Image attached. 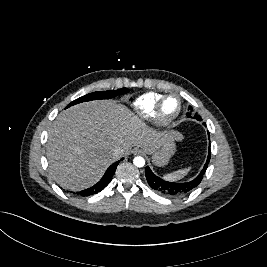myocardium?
<instances>
[{"label": "myocardium", "mask_w": 267, "mask_h": 267, "mask_svg": "<svg viewBox=\"0 0 267 267\" xmlns=\"http://www.w3.org/2000/svg\"><path fill=\"white\" fill-rule=\"evenodd\" d=\"M171 98H174L177 100L178 108H177V111L172 116L165 118L162 116L161 110H162L163 104L168 99H171ZM181 110H182V102H181L180 97L175 94H167V95L162 96L156 103L154 110H153L152 117L156 125L160 127H168L177 120V118L180 116Z\"/></svg>", "instance_id": "obj_1"}]
</instances>
